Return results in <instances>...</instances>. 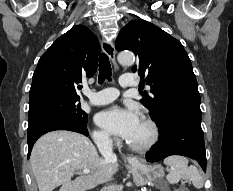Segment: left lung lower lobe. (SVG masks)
<instances>
[{"label":"left lung lower lobe","mask_w":233,"mask_h":191,"mask_svg":"<svg viewBox=\"0 0 233 191\" xmlns=\"http://www.w3.org/2000/svg\"><path fill=\"white\" fill-rule=\"evenodd\" d=\"M160 140L146 155L148 162H157L171 155H182L198 161L206 171V151L201 128V116L177 113L164 118L159 126Z\"/></svg>","instance_id":"obj_1"}]
</instances>
